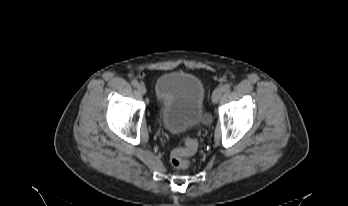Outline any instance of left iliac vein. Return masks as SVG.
I'll use <instances>...</instances> for the list:
<instances>
[{"mask_svg":"<svg viewBox=\"0 0 348 206\" xmlns=\"http://www.w3.org/2000/svg\"><path fill=\"white\" fill-rule=\"evenodd\" d=\"M223 94V89L221 86L217 87L212 94V102L214 104L218 103Z\"/></svg>","mask_w":348,"mask_h":206,"instance_id":"obj_1","label":"left iliac vein"}]
</instances>
